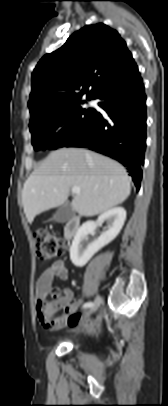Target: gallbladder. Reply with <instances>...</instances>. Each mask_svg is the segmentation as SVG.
<instances>
[{"label": "gallbladder", "mask_w": 168, "mask_h": 406, "mask_svg": "<svg viewBox=\"0 0 168 406\" xmlns=\"http://www.w3.org/2000/svg\"><path fill=\"white\" fill-rule=\"evenodd\" d=\"M74 216V212L72 210L71 204L69 202H65L53 215L51 220L64 223L70 220Z\"/></svg>", "instance_id": "bac80fb5"}]
</instances>
